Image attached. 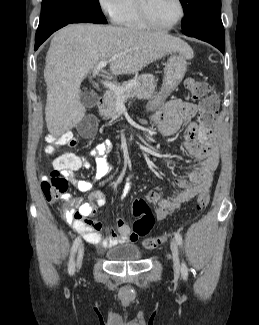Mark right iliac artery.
Listing matches in <instances>:
<instances>
[{
	"label": "right iliac artery",
	"mask_w": 259,
	"mask_h": 325,
	"mask_svg": "<svg viewBox=\"0 0 259 325\" xmlns=\"http://www.w3.org/2000/svg\"><path fill=\"white\" fill-rule=\"evenodd\" d=\"M80 243H81V238L77 237L74 240L73 245H72L71 256H70V260H69V264H68V272H69L70 275H73L74 272H75V260H74V258H75V253H76Z\"/></svg>",
	"instance_id": "obj_1"
}]
</instances>
